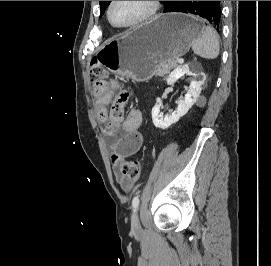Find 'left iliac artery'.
Here are the masks:
<instances>
[{"mask_svg": "<svg viewBox=\"0 0 271 266\" xmlns=\"http://www.w3.org/2000/svg\"><path fill=\"white\" fill-rule=\"evenodd\" d=\"M139 206V198L136 196L132 200V207L134 210H136Z\"/></svg>", "mask_w": 271, "mask_h": 266, "instance_id": "44dca946", "label": "left iliac artery"}]
</instances>
